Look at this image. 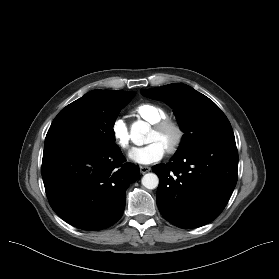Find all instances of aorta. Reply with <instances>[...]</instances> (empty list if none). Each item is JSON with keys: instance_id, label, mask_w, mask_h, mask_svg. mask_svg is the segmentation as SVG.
Wrapping results in <instances>:
<instances>
[{"instance_id": "aorta-1", "label": "aorta", "mask_w": 279, "mask_h": 279, "mask_svg": "<svg viewBox=\"0 0 279 279\" xmlns=\"http://www.w3.org/2000/svg\"><path fill=\"white\" fill-rule=\"evenodd\" d=\"M149 131V124L144 121H137L131 127V138L133 141H140ZM142 185L147 189H155L159 184V178L155 173H147L142 177Z\"/></svg>"}]
</instances>
